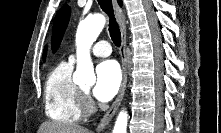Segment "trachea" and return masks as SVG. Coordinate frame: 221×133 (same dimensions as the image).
<instances>
[{"label":"trachea","instance_id":"3493384b","mask_svg":"<svg viewBox=\"0 0 221 133\" xmlns=\"http://www.w3.org/2000/svg\"><path fill=\"white\" fill-rule=\"evenodd\" d=\"M98 3L102 10L109 16V32L113 43L120 47L121 45V33L114 17L112 1L111 0H98Z\"/></svg>","mask_w":221,"mask_h":133}]
</instances>
